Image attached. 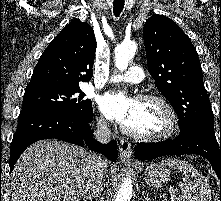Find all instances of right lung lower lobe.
<instances>
[{
	"label": "right lung lower lobe",
	"instance_id": "1",
	"mask_svg": "<svg viewBox=\"0 0 221 201\" xmlns=\"http://www.w3.org/2000/svg\"><path fill=\"white\" fill-rule=\"evenodd\" d=\"M92 116L82 118L74 114L42 108L21 110L18 117V127L10 148V171L28 146L36 141L51 138L79 146L88 145L91 150L114 161L118 155L117 142L112 140L109 144L104 145L92 138L90 129Z\"/></svg>",
	"mask_w": 221,
	"mask_h": 201
}]
</instances>
